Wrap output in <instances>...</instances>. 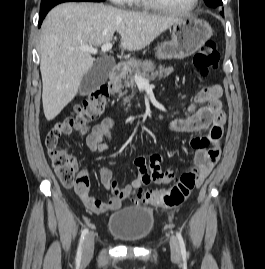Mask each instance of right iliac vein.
<instances>
[{
	"mask_svg": "<svg viewBox=\"0 0 265 269\" xmlns=\"http://www.w3.org/2000/svg\"><path fill=\"white\" fill-rule=\"evenodd\" d=\"M94 239H95V235L93 232L89 233L86 236L83 253H82V259L84 262L92 258L93 250H94Z\"/></svg>",
	"mask_w": 265,
	"mask_h": 269,
	"instance_id": "63e3f726",
	"label": "right iliac vein"
}]
</instances>
